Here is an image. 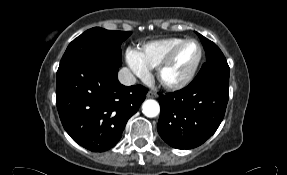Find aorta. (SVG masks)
<instances>
[{
    "label": "aorta",
    "mask_w": 287,
    "mask_h": 175,
    "mask_svg": "<svg viewBox=\"0 0 287 175\" xmlns=\"http://www.w3.org/2000/svg\"><path fill=\"white\" fill-rule=\"evenodd\" d=\"M142 112L146 117H156L160 113L159 103L153 99L144 101L142 104Z\"/></svg>",
    "instance_id": "obj_1"
}]
</instances>
